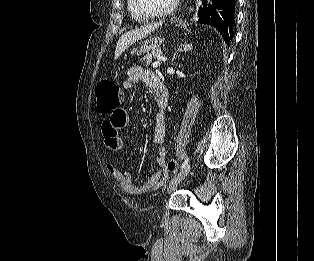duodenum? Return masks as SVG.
Returning <instances> with one entry per match:
<instances>
[{
  "mask_svg": "<svg viewBox=\"0 0 314 261\" xmlns=\"http://www.w3.org/2000/svg\"><path fill=\"white\" fill-rule=\"evenodd\" d=\"M155 96L158 101V103L162 106L165 107L167 105L168 101V95L166 89L160 85L156 91H155Z\"/></svg>",
  "mask_w": 314,
  "mask_h": 261,
  "instance_id": "obj_1",
  "label": "duodenum"
}]
</instances>
